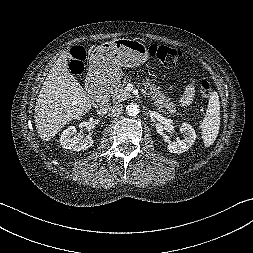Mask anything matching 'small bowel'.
<instances>
[{
  "label": "small bowel",
  "mask_w": 253,
  "mask_h": 253,
  "mask_svg": "<svg viewBox=\"0 0 253 253\" xmlns=\"http://www.w3.org/2000/svg\"><path fill=\"white\" fill-rule=\"evenodd\" d=\"M195 88L193 84H189L185 90V93L183 94L180 103L182 105H188L191 103V101L194 98Z\"/></svg>",
  "instance_id": "1"
}]
</instances>
